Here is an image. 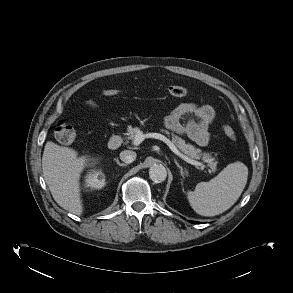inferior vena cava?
<instances>
[{
    "instance_id": "inferior-vena-cava-1",
    "label": "inferior vena cava",
    "mask_w": 293,
    "mask_h": 293,
    "mask_svg": "<svg viewBox=\"0 0 293 293\" xmlns=\"http://www.w3.org/2000/svg\"><path fill=\"white\" fill-rule=\"evenodd\" d=\"M120 159L125 163H132L136 159V153L131 150H124L120 153Z\"/></svg>"
}]
</instances>
